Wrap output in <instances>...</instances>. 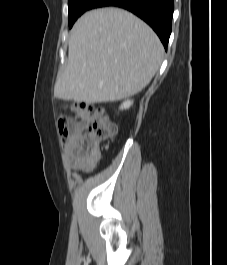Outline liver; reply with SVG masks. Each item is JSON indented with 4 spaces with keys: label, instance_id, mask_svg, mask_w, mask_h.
<instances>
[{
    "label": "liver",
    "instance_id": "1",
    "mask_svg": "<svg viewBox=\"0 0 227 265\" xmlns=\"http://www.w3.org/2000/svg\"><path fill=\"white\" fill-rule=\"evenodd\" d=\"M164 48L138 17L118 8L85 13L70 31L68 63L58 74V99L119 101L145 88L158 71Z\"/></svg>",
    "mask_w": 227,
    "mask_h": 265
}]
</instances>
